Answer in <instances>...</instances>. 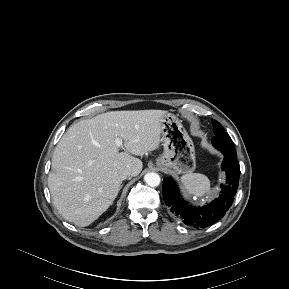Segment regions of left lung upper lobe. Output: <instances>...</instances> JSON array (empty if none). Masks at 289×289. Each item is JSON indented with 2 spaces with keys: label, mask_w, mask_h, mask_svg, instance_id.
Instances as JSON below:
<instances>
[{
  "label": "left lung upper lobe",
  "mask_w": 289,
  "mask_h": 289,
  "mask_svg": "<svg viewBox=\"0 0 289 289\" xmlns=\"http://www.w3.org/2000/svg\"><path fill=\"white\" fill-rule=\"evenodd\" d=\"M212 125L214 127L213 132L215 137L212 139L213 145L217 149H225V150H235V146L230 136L225 132L224 128L221 126L219 122L212 119Z\"/></svg>",
  "instance_id": "obj_1"
}]
</instances>
